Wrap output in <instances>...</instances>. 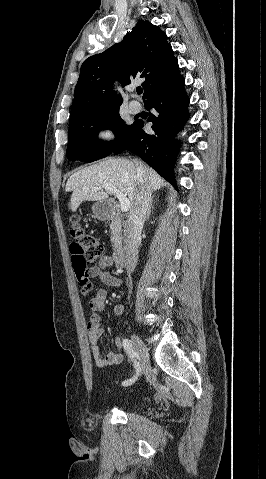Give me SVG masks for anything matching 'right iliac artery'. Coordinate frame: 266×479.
Instances as JSON below:
<instances>
[{
	"mask_svg": "<svg viewBox=\"0 0 266 479\" xmlns=\"http://www.w3.org/2000/svg\"><path fill=\"white\" fill-rule=\"evenodd\" d=\"M122 343H123V347H124L125 352L127 353L128 357L133 361L134 367L136 369V375L133 376L132 378L128 379V380H125L122 383L123 386H129L132 383H134L136 381V379L138 378L139 371H140V366H139V363L135 359L136 352H135L130 340L125 338V339H123Z\"/></svg>",
	"mask_w": 266,
	"mask_h": 479,
	"instance_id": "right-iliac-artery-1",
	"label": "right iliac artery"
}]
</instances>
